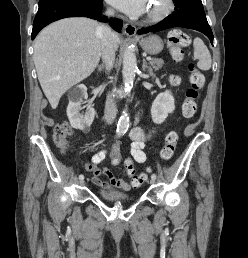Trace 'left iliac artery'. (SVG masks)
I'll return each mask as SVG.
<instances>
[{"label": "left iliac artery", "instance_id": "1", "mask_svg": "<svg viewBox=\"0 0 248 258\" xmlns=\"http://www.w3.org/2000/svg\"><path fill=\"white\" fill-rule=\"evenodd\" d=\"M151 179H154V180H155V179H156V174H152V175H151Z\"/></svg>", "mask_w": 248, "mask_h": 258}]
</instances>
